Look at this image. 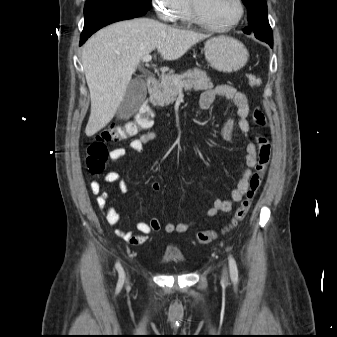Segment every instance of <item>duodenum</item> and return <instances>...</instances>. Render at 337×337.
Here are the masks:
<instances>
[{
    "label": "duodenum",
    "instance_id": "410a0bca",
    "mask_svg": "<svg viewBox=\"0 0 337 337\" xmlns=\"http://www.w3.org/2000/svg\"><path fill=\"white\" fill-rule=\"evenodd\" d=\"M146 83H147L148 89L153 91L154 89H156V87L158 85L157 76L154 75V74L148 75L147 78H146Z\"/></svg>",
    "mask_w": 337,
    "mask_h": 337
}]
</instances>
